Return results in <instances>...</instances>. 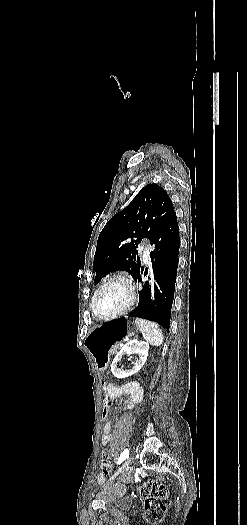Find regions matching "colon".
<instances>
[{
  "mask_svg": "<svg viewBox=\"0 0 247 525\" xmlns=\"http://www.w3.org/2000/svg\"><path fill=\"white\" fill-rule=\"evenodd\" d=\"M101 388L106 389L109 386L108 381L103 380L100 383ZM104 398H107V395H104ZM103 414L101 415V423H104V420L108 418V414L111 412V404L109 402H104L101 405ZM112 466V456L109 451H103L101 453V468L104 473H109ZM138 493L143 498L144 501V510L143 517L144 519L151 523L157 524L164 520L169 502L167 500L169 489L168 487L159 484L154 480L143 481L139 484Z\"/></svg>",
  "mask_w": 247,
  "mask_h": 525,
  "instance_id": "obj_1",
  "label": "colon"
}]
</instances>
